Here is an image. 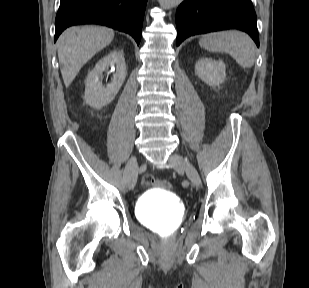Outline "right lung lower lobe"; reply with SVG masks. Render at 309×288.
Wrapping results in <instances>:
<instances>
[{"instance_id":"right-lung-lower-lobe-1","label":"right lung lower lobe","mask_w":309,"mask_h":288,"mask_svg":"<svg viewBox=\"0 0 309 288\" xmlns=\"http://www.w3.org/2000/svg\"><path fill=\"white\" fill-rule=\"evenodd\" d=\"M146 4L147 0H61L54 42L69 26L100 24L132 35L139 44Z\"/></svg>"}]
</instances>
